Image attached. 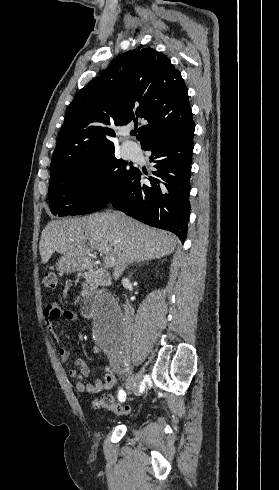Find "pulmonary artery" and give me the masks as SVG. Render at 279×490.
Instances as JSON below:
<instances>
[{
  "label": "pulmonary artery",
  "instance_id": "pulmonary-artery-1",
  "mask_svg": "<svg viewBox=\"0 0 279 490\" xmlns=\"http://www.w3.org/2000/svg\"><path fill=\"white\" fill-rule=\"evenodd\" d=\"M137 146L135 144L124 147V155L128 158H134L136 156Z\"/></svg>",
  "mask_w": 279,
  "mask_h": 490
}]
</instances>
